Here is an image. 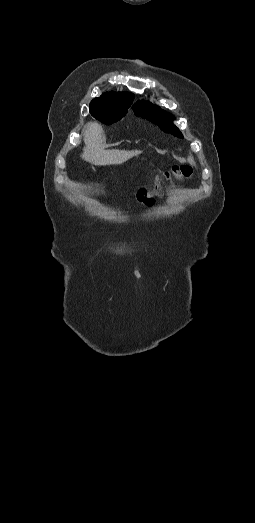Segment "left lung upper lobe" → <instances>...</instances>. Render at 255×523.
I'll use <instances>...</instances> for the list:
<instances>
[{"instance_id":"5c2ea615","label":"left lung upper lobe","mask_w":255,"mask_h":523,"mask_svg":"<svg viewBox=\"0 0 255 523\" xmlns=\"http://www.w3.org/2000/svg\"><path fill=\"white\" fill-rule=\"evenodd\" d=\"M133 110L138 116H142L150 120L151 122L158 124L162 130L171 133L174 136L182 138V134L179 129L173 125V116L165 111H162L158 106L151 104L150 102L138 101L134 106Z\"/></svg>"}]
</instances>
